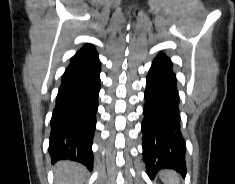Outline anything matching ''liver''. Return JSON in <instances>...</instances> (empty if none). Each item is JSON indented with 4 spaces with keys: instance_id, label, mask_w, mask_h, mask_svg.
I'll list each match as a JSON object with an SVG mask.
<instances>
[{
    "instance_id": "1",
    "label": "liver",
    "mask_w": 235,
    "mask_h": 184,
    "mask_svg": "<svg viewBox=\"0 0 235 184\" xmlns=\"http://www.w3.org/2000/svg\"><path fill=\"white\" fill-rule=\"evenodd\" d=\"M86 168L75 162H58L55 166V184H84Z\"/></svg>"
}]
</instances>
